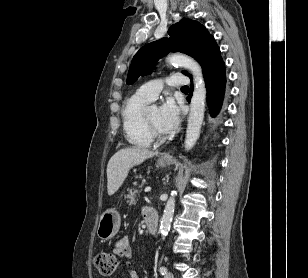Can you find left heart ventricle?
<instances>
[{
    "label": "left heart ventricle",
    "mask_w": 308,
    "mask_h": 278,
    "mask_svg": "<svg viewBox=\"0 0 308 278\" xmlns=\"http://www.w3.org/2000/svg\"><path fill=\"white\" fill-rule=\"evenodd\" d=\"M158 115H159V110L156 108H153L147 111V116L150 122L154 125V127L160 130L158 127Z\"/></svg>",
    "instance_id": "obj_1"
}]
</instances>
